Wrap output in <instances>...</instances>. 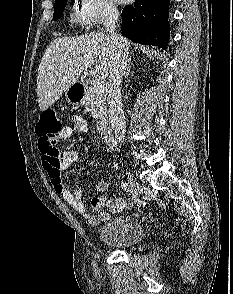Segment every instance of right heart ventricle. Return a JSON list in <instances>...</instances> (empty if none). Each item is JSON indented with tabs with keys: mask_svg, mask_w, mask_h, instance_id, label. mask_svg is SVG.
<instances>
[{
	"mask_svg": "<svg viewBox=\"0 0 233 294\" xmlns=\"http://www.w3.org/2000/svg\"><path fill=\"white\" fill-rule=\"evenodd\" d=\"M69 21L72 25H84V20L78 10L71 14Z\"/></svg>",
	"mask_w": 233,
	"mask_h": 294,
	"instance_id": "obj_1",
	"label": "right heart ventricle"
}]
</instances>
